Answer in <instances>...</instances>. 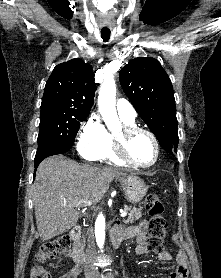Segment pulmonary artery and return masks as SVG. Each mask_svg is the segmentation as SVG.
Returning <instances> with one entry per match:
<instances>
[{"mask_svg": "<svg viewBox=\"0 0 221 278\" xmlns=\"http://www.w3.org/2000/svg\"><path fill=\"white\" fill-rule=\"evenodd\" d=\"M116 109L122 120L133 122L136 117V111L132 104L126 99H119L116 102Z\"/></svg>", "mask_w": 221, "mask_h": 278, "instance_id": "1", "label": "pulmonary artery"}]
</instances>
